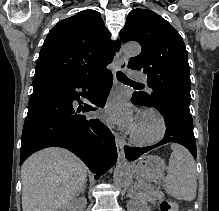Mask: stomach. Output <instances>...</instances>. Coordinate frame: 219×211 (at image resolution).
<instances>
[{
  "mask_svg": "<svg viewBox=\"0 0 219 211\" xmlns=\"http://www.w3.org/2000/svg\"><path fill=\"white\" fill-rule=\"evenodd\" d=\"M135 174L148 182L159 179L165 170L162 158L156 155H145L140 157L132 166Z\"/></svg>",
  "mask_w": 219,
  "mask_h": 211,
  "instance_id": "obj_1",
  "label": "stomach"
}]
</instances>
